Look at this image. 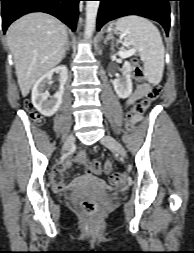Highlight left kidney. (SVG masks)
I'll list each match as a JSON object with an SVG mask.
<instances>
[{
  "label": "left kidney",
  "instance_id": "1",
  "mask_svg": "<svg viewBox=\"0 0 194 253\" xmlns=\"http://www.w3.org/2000/svg\"><path fill=\"white\" fill-rule=\"evenodd\" d=\"M131 72L132 67L126 61L122 68V77L113 80L114 90L120 98L125 99L132 94Z\"/></svg>",
  "mask_w": 194,
  "mask_h": 253
}]
</instances>
